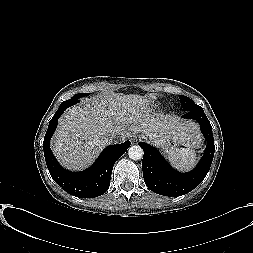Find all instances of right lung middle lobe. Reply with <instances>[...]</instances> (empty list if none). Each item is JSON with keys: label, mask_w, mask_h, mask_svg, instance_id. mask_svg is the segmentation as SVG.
Returning a JSON list of instances; mask_svg holds the SVG:
<instances>
[{"label": "right lung middle lobe", "mask_w": 253, "mask_h": 253, "mask_svg": "<svg viewBox=\"0 0 253 253\" xmlns=\"http://www.w3.org/2000/svg\"><path fill=\"white\" fill-rule=\"evenodd\" d=\"M86 95H87V93H79V94H76L75 96H73L71 99H79L80 97H84Z\"/></svg>", "instance_id": "1"}]
</instances>
